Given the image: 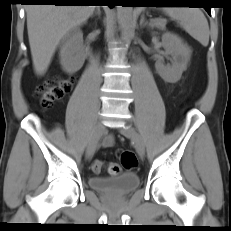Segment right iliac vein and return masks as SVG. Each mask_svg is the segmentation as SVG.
<instances>
[{"instance_id":"obj_1","label":"right iliac vein","mask_w":231,"mask_h":231,"mask_svg":"<svg viewBox=\"0 0 231 231\" xmlns=\"http://www.w3.org/2000/svg\"><path fill=\"white\" fill-rule=\"evenodd\" d=\"M104 131H105V127L103 125L102 122H98L96 125H95V128H94V132H93V135L91 137V140L87 146V149H86V157L88 159L92 158L97 147H98V144L104 134Z\"/></svg>"}]
</instances>
